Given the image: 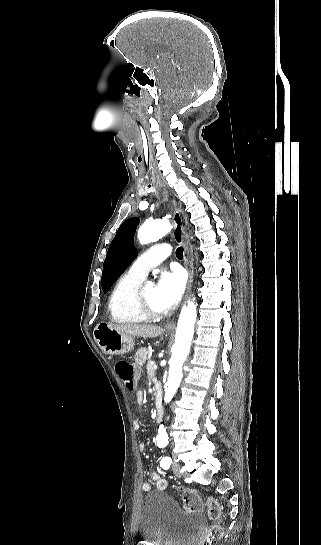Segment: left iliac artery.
<instances>
[{"label": "left iliac artery", "mask_w": 321, "mask_h": 545, "mask_svg": "<svg viewBox=\"0 0 321 545\" xmlns=\"http://www.w3.org/2000/svg\"><path fill=\"white\" fill-rule=\"evenodd\" d=\"M172 463V459L171 457H164L162 460H161V466L162 468L164 469H168L170 467Z\"/></svg>", "instance_id": "left-iliac-artery-1"}]
</instances>
